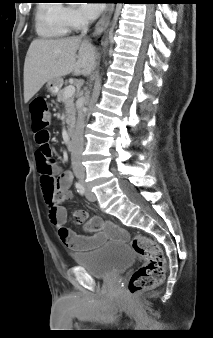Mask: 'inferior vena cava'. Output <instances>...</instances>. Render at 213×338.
Wrapping results in <instances>:
<instances>
[{
  "label": "inferior vena cava",
  "mask_w": 213,
  "mask_h": 338,
  "mask_svg": "<svg viewBox=\"0 0 213 338\" xmlns=\"http://www.w3.org/2000/svg\"><path fill=\"white\" fill-rule=\"evenodd\" d=\"M87 31H88V21L85 20L81 36L86 35ZM84 126H85V115L82 109H79L75 133L72 141L71 161L73 172L75 176L80 180H83L85 178V168L82 165V152L84 148V137H83Z\"/></svg>",
  "instance_id": "obj_1"
}]
</instances>
